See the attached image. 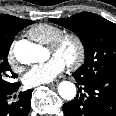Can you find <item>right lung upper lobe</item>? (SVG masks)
<instances>
[{"label": "right lung upper lobe", "instance_id": "1", "mask_svg": "<svg viewBox=\"0 0 116 116\" xmlns=\"http://www.w3.org/2000/svg\"><path fill=\"white\" fill-rule=\"evenodd\" d=\"M27 22L25 19H20L7 14H0V32L9 33L16 30L19 26Z\"/></svg>", "mask_w": 116, "mask_h": 116}]
</instances>
